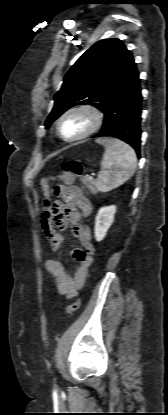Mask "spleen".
<instances>
[{"instance_id":"spleen-1","label":"spleen","mask_w":168,"mask_h":415,"mask_svg":"<svg viewBox=\"0 0 168 415\" xmlns=\"http://www.w3.org/2000/svg\"><path fill=\"white\" fill-rule=\"evenodd\" d=\"M96 142L105 147L96 187L100 192H108L133 176L137 157L134 149L119 139L99 138Z\"/></svg>"}]
</instances>
